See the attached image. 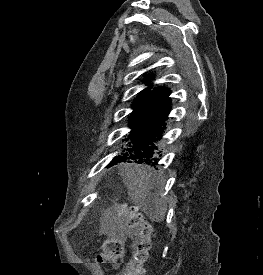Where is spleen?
<instances>
[{"label": "spleen", "mask_w": 263, "mask_h": 275, "mask_svg": "<svg viewBox=\"0 0 263 275\" xmlns=\"http://www.w3.org/2000/svg\"><path fill=\"white\" fill-rule=\"evenodd\" d=\"M123 180L135 200L146 210L152 220L161 221L166 212L163 197L159 191L152 193L162 184L152 170L137 164L122 165Z\"/></svg>", "instance_id": "3e777b00"}]
</instances>
